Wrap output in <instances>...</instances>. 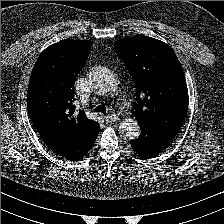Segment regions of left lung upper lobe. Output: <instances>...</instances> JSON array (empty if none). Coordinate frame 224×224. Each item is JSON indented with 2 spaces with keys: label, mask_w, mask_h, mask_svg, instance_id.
<instances>
[{
  "label": "left lung upper lobe",
  "mask_w": 224,
  "mask_h": 224,
  "mask_svg": "<svg viewBox=\"0 0 224 224\" xmlns=\"http://www.w3.org/2000/svg\"><path fill=\"white\" fill-rule=\"evenodd\" d=\"M115 50L136 84L135 114L140 128L173 139L188 109L185 77L175 53L146 36L124 39Z\"/></svg>",
  "instance_id": "1"
}]
</instances>
